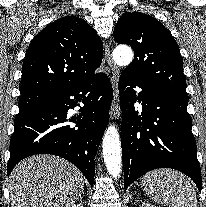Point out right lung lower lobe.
I'll return each mask as SVG.
<instances>
[{
  "label": "right lung lower lobe",
  "instance_id": "98d812e1",
  "mask_svg": "<svg viewBox=\"0 0 206 207\" xmlns=\"http://www.w3.org/2000/svg\"><path fill=\"white\" fill-rule=\"evenodd\" d=\"M45 95L43 103L18 113L15 118L8 176L20 160L34 154H52L72 162L93 186L94 159L113 97L109 78L98 73L81 83ZM79 102L84 107L77 116L68 119V110L80 106ZM69 121L76 122V126L66 124Z\"/></svg>",
  "mask_w": 206,
  "mask_h": 207
}]
</instances>
